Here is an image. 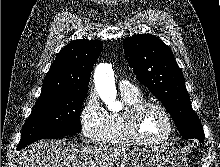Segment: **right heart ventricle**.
Segmentation results:
<instances>
[{
  "label": "right heart ventricle",
  "instance_id": "1",
  "mask_svg": "<svg viewBox=\"0 0 220 167\" xmlns=\"http://www.w3.org/2000/svg\"><path fill=\"white\" fill-rule=\"evenodd\" d=\"M121 96L126 105V108L144 101L142 95L136 90L121 91ZM101 143L107 146H129L133 144L127 138L125 133L123 113L107 112V124Z\"/></svg>",
  "mask_w": 220,
  "mask_h": 167
}]
</instances>
